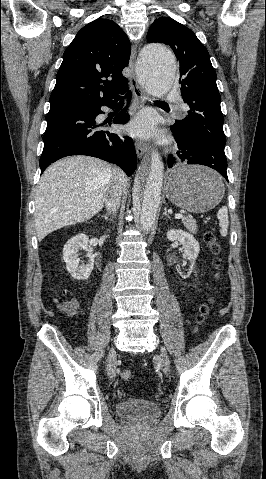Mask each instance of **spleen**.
Wrapping results in <instances>:
<instances>
[{"label": "spleen", "mask_w": 266, "mask_h": 479, "mask_svg": "<svg viewBox=\"0 0 266 479\" xmlns=\"http://www.w3.org/2000/svg\"><path fill=\"white\" fill-rule=\"evenodd\" d=\"M217 218L219 219V225L221 227L220 234L221 236L225 237L227 235V228L229 226L227 207H222L219 209Z\"/></svg>", "instance_id": "1"}]
</instances>
